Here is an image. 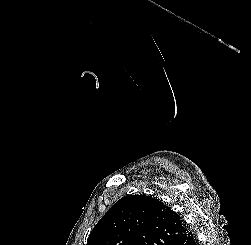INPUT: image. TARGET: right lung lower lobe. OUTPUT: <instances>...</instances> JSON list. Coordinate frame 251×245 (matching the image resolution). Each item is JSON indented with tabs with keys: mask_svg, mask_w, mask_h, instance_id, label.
Masks as SVG:
<instances>
[{
	"mask_svg": "<svg viewBox=\"0 0 251 245\" xmlns=\"http://www.w3.org/2000/svg\"><path fill=\"white\" fill-rule=\"evenodd\" d=\"M169 245H198V244L195 235L188 229V231L183 236L176 239L175 241H172Z\"/></svg>",
	"mask_w": 251,
	"mask_h": 245,
	"instance_id": "98d812e1",
	"label": "right lung lower lobe"
}]
</instances>
